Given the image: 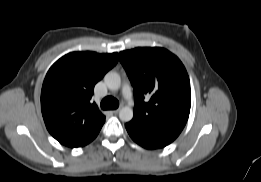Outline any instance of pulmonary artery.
Segmentation results:
<instances>
[{"mask_svg": "<svg viewBox=\"0 0 261 182\" xmlns=\"http://www.w3.org/2000/svg\"><path fill=\"white\" fill-rule=\"evenodd\" d=\"M122 94L124 96V98L126 100H128L129 102L133 101V94H132V90L129 84L124 83L122 86Z\"/></svg>", "mask_w": 261, "mask_h": 182, "instance_id": "obj_1", "label": "pulmonary artery"}]
</instances>
